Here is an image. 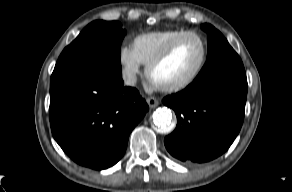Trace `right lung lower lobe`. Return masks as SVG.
I'll return each mask as SVG.
<instances>
[{"instance_id": "obj_1", "label": "right lung lower lobe", "mask_w": 292, "mask_h": 192, "mask_svg": "<svg viewBox=\"0 0 292 192\" xmlns=\"http://www.w3.org/2000/svg\"><path fill=\"white\" fill-rule=\"evenodd\" d=\"M149 107L125 87L121 72L91 61H59L50 82L54 139L76 163L96 170L116 164Z\"/></svg>"}]
</instances>
